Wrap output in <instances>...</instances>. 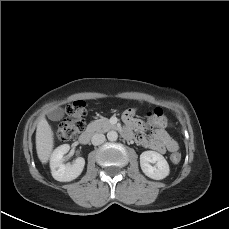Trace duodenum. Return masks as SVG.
<instances>
[{
	"instance_id": "1",
	"label": "duodenum",
	"mask_w": 229,
	"mask_h": 229,
	"mask_svg": "<svg viewBox=\"0 0 229 229\" xmlns=\"http://www.w3.org/2000/svg\"><path fill=\"white\" fill-rule=\"evenodd\" d=\"M94 129L93 128H89L88 130L84 131L78 139V143L81 145H87L89 144V142L91 141L92 137L94 136ZM121 134L123 137L125 138H130L132 139V134L126 130V129H122Z\"/></svg>"
}]
</instances>
